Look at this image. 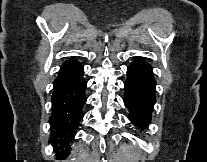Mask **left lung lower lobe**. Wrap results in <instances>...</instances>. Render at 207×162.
<instances>
[{"instance_id":"0a47b994","label":"left lung lower lobe","mask_w":207,"mask_h":162,"mask_svg":"<svg viewBox=\"0 0 207 162\" xmlns=\"http://www.w3.org/2000/svg\"><path fill=\"white\" fill-rule=\"evenodd\" d=\"M124 88V103L129 109V119L139 127L146 128L156 101L152 67L142 59L134 60L127 68Z\"/></svg>"}]
</instances>
